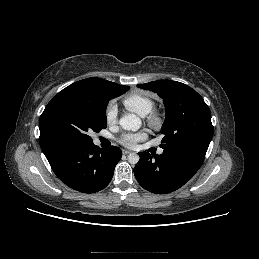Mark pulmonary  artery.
Wrapping results in <instances>:
<instances>
[{
    "instance_id": "obj_1",
    "label": "pulmonary artery",
    "mask_w": 259,
    "mask_h": 259,
    "mask_svg": "<svg viewBox=\"0 0 259 259\" xmlns=\"http://www.w3.org/2000/svg\"><path fill=\"white\" fill-rule=\"evenodd\" d=\"M162 153H163V149H159L158 154H162Z\"/></svg>"
}]
</instances>
